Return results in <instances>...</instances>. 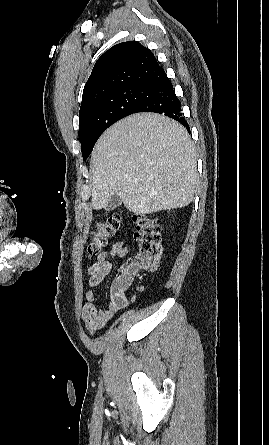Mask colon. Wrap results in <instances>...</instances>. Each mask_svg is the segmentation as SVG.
I'll use <instances>...</instances> for the list:
<instances>
[{"label":"colon","instance_id":"5ec220e1","mask_svg":"<svg viewBox=\"0 0 269 445\" xmlns=\"http://www.w3.org/2000/svg\"><path fill=\"white\" fill-rule=\"evenodd\" d=\"M121 223V215L114 213L97 223L91 233L87 246L89 257L98 255L115 235ZM134 238L138 244V253L132 263L125 267L113 282L112 289L121 301V294L132 285L138 269H155L161 258V234L157 221L150 216L136 217Z\"/></svg>","mask_w":269,"mask_h":445}]
</instances>
